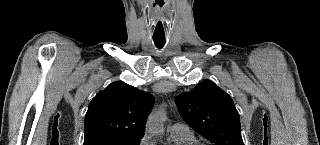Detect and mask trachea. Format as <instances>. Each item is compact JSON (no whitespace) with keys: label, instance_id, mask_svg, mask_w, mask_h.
<instances>
[{"label":"trachea","instance_id":"trachea-1","mask_svg":"<svg viewBox=\"0 0 320 145\" xmlns=\"http://www.w3.org/2000/svg\"><path fill=\"white\" fill-rule=\"evenodd\" d=\"M153 41L155 46L159 49L163 48L166 42L165 37H156V36H153Z\"/></svg>","mask_w":320,"mask_h":145}]
</instances>
